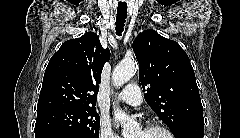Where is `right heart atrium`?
<instances>
[{
  "mask_svg": "<svg viewBox=\"0 0 240 138\" xmlns=\"http://www.w3.org/2000/svg\"><path fill=\"white\" fill-rule=\"evenodd\" d=\"M100 138H118V136L112 131L111 126L108 122H101L99 129Z\"/></svg>",
  "mask_w": 240,
  "mask_h": 138,
  "instance_id": "d8ad5b80",
  "label": "right heart atrium"
}]
</instances>
